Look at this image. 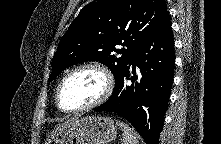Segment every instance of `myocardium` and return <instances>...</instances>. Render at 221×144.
<instances>
[{"label": "myocardium", "instance_id": "myocardium-1", "mask_svg": "<svg viewBox=\"0 0 221 144\" xmlns=\"http://www.w3.org/2000/svg\"><path fill=\"white\" fill-rule=\"evenodd\" d=\"M84 69H93V70H96L102 74V76L104 77V80H105V87H104L102 94L95 101H93L87 105H84V106H81L78 108H72V109H68V108L63 107V105L61 103V91H62V88H63L65 82L73 74H75L76 72H78L80 70H84ZM113 88H114V80H113L112 74L105 66H103L102 64L96 63V62L83 63V64L76 66L72 70H70L59 82L57 90H56V95H55L56 105L61 111L66 112V113H77V112L86 111V110L95 108V107L101 105L102 103H104L112 94Z\"/></svg>", "mask_w": 221, "mask_h": 144}]
</instances>
